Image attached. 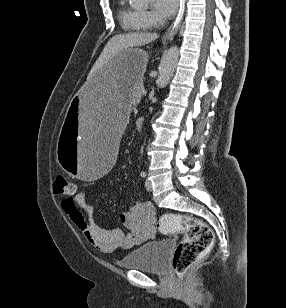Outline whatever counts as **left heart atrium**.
<instances>
[{
  "label": "left heart atrium",
  "mask_w": 286,
  "mask_h": 308,
  "mask_svg": "<svg viewBox=\"0 0 286 308\" xmlns=\"http://www.w3.org/2000/svg\"><path fill=\"white\" fill-rule=\"evenodd\" d=\"M178 2L179 0H152V9L159 18L168 19L175 14Z\"/></svg>",
  "instance_id": "obj_1"
}]
</instances>
